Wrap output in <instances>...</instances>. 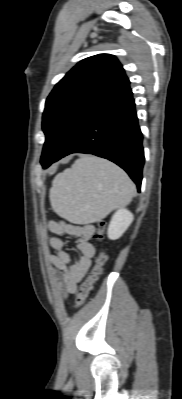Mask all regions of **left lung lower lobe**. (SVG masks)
I'll use <instances>...</instances> for the list:
<instances>
[{"mask_svg":"<svg viewBox=\"0 0 182 399\" xmlns=\"http://www.w3.org/2000/svg\"><path fill=\"white\" fill-rule=\"evenodd\" d=\"M72 153L93 154L111 160L129 174L140 191L144 151L129 85L99 107L61 154L43 168Z\"/></svg>","mask_w":182,"mask_h":399,"instance_id":"obj_1","label":"left lung lower lobe"}]
</instances>
